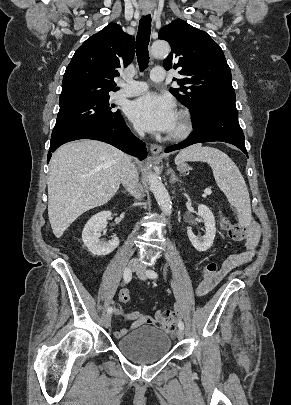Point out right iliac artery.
<instances>
[{"instance_id": "right-iliac-artery-1", "label": "right iliac artery", "mask_w": 291, "mask_h": 405, "mask_svg": "<svg viewBox=\"0 0 291 405\" xmlns=\"http://www.w3.org/2000/svg\"><path fill=\"white\" fill-rule=\"evenodd\" d=\"M123 278H124V281H125L126 283L130 282V280H131V278H132V273H131V271H130L129 268H126V269L124 270ZM112 312H113V308H112V307H109V308L107 309V313H108V314H111Z\"/></svg>"}]
</instances>
